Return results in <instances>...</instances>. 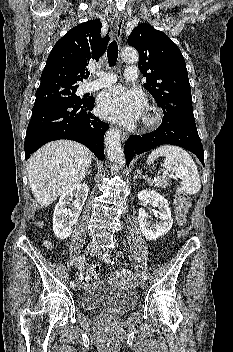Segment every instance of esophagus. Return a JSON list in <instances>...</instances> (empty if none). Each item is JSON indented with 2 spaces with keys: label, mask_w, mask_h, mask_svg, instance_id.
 Here are the masks:
<instances>
[{
  "label": "esophagus",
  "mask_w": 233,
  "mask_h": 352,
  "mask_svg": "<svg viewBox=\"0 0 233 352\" xmlns=\"http://www.w3.org/2000/svg\"><path fill=\"white\" fill-rule=\"evenodd\" d=\"M124 22H125V14L124 12L119 13L117 20H116V40L118 43H120L121 38H122V31L124 27ZM129 134L126 131H121V139L122 141H126L128 138Z\"/></svg>",
  "instance_id": "obj_1"
}]
</instances>
